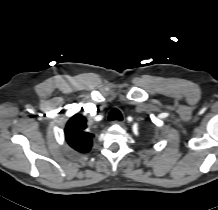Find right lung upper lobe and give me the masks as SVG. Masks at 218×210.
<instances>
[{
	"mask_svg": "<svg viewBox=\"0 0 218 210\" xmlns=\"http://www.w3.org/2000/svg\"><path fill=\"white\" fill-rule=\"evenodd\" d=\"M87 120L80 114L70 118L65 127V136L68 144L80 153L91 149L93 134L87 130Z\"/></svg>",
	"mask_w": 218,
	"mask_h": 210,
	"instance_id": "cb5924a9",
	"label": "right lung upper lobe"
}]
</instances>
